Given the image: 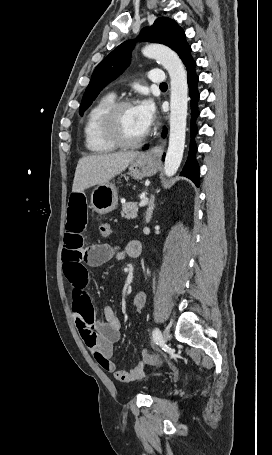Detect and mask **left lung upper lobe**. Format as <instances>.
Segmentation results:
<instances>
[{
	"label": "left lung upper lobe",
	"mask_w": 272,
	"mask_h": 455,
	"mask_svg": "<svg viewBox=\"0 0 272 455\" xmlns=\"http://www.w3.org/2000/svg\"><path fill=\"white\" fill-rule=\"evenodd\" d=\"M139 39L169 46L177 52L183 62L191 58V47L185 40L184 31L167 17H160L150 28H144ZM133 45L134 41L123 42L97 65L83 95L80 115L92 104L100 91L128 67Z\"/></svg>",
	"instance_id": "1"
}]
</instances>
